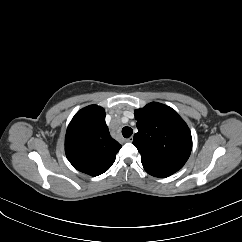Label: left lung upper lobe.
I'll return each instance as SVG.
<instances>
[{"label": "left lung upper lobe", "instance_id": "left-lung-upper-lobe-1", "mask_svg": "<svg viewBox=\"0 0 242 242\" xmlns=\"http://www.w3.org/2000/svg\"><path fill=\"white\" fill-rule=\"evenodd\" d=\"M138 133L133 144L152 176L165 178L183 167L192 149L191 132L171 107L152 102L135 111Z\"/></svg>", "mask_w": 242, "mask_h": 242}]
</instances>
